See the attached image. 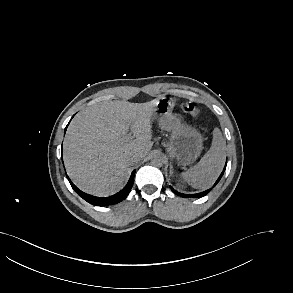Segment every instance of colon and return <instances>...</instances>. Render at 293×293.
Instances as JSON below:
<instances>
[{"label": "colon", "mask_w": 293, "mask_h": 293, "mask_svg": "<svg viewBox=\"0 0 293 293\" xmlns=\"http://www.w3.org/2000/svg\"><path fill=\"white\" fill-rule=\"evenodd\" d=\"M182 108L187 115H196L197 114V109L193 104L184 103L182 105Z\"/></svg>", "instance_id": "5ec220e1"}]
</instances>
